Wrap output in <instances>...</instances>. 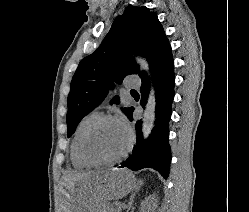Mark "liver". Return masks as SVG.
Instances as JSON below:
<instances>
[{"label":"liver","mask_w":249,"mask_h":212,"mask_svg":"<svg viewBox=\"0 0 249 212\" xmlns=\"http://www.w3.org/2000/svg\"><path fill=\"white\" fill-rule=\"evenodd\" d=\"M67 186L73 198V192L77 184L88 182L90 190L95 196L92 210H99L107 200H122L136 186V178L125 168L121 170H108V172H77L68 174Z\"/></svg>","instance_id":"6515ba94"}]
</instances>
